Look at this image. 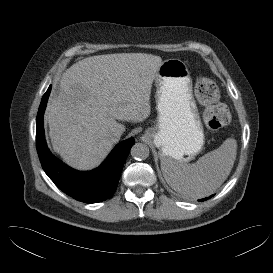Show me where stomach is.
I'll return each instance as SVG.
<instances>
[{
  "label": "stomach",
  "mask_w": 273,
  "mask_h": 273,
  "mask_svg": "<svg viewBox=\"0 0 273 273\" xmlns=\"http://www.w3.org/2000/svg\"><path fill=\"white\" fill-rule=\"evenodd\" d=\"M154 80L157 123L145 135L159 149L161 162L186 164L205 144L188 67L180 59H167Z\"/></svg>",
  "instance_id": "1"
}]
</instances>
